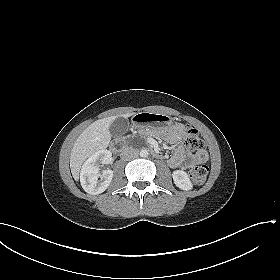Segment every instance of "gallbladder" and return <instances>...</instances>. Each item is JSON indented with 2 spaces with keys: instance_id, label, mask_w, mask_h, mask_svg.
Masks as SVG:
<instances>
[{
  "instance_id": "gallbladder-1",
  "label": "gallbladder",
  "mask_w": 280,
  "mask_h": 280,
  "mask_svg": "<svg viewBox=\"0 0 280 280\" xmlns=\"http://www.w3.org/2000/svg\"><path fill=\"white\" fill-rule=\"evenodd\" d=\"M129 127L128 119L124 117H117L109 127L110 134L113 137L123 136Z\"/></svg>"
}]
</instances>
